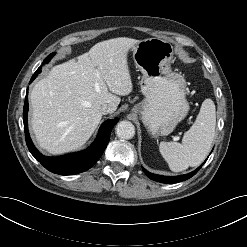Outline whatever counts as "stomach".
<instances>
[{
	"label": "stomach",
	"mask_w": 247,
	"mask_h": 247,
	"mask_svg": "<svg viewBox=\"0 0 247 247\" xmlns=\"http://www.w3.org/2000/svg\"><path fill=\"white\" fill-rule=\"evenodd\" d=\"M136 67L143 74L141 91L145 98L132 111L139 114L153 137L167 136L190 109L184 77L172 71L173 46L169 41L149 38L131 48Z\"/></svg>",
	"instance_id": "stomach-1"
}]
</instances>
